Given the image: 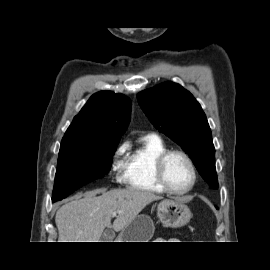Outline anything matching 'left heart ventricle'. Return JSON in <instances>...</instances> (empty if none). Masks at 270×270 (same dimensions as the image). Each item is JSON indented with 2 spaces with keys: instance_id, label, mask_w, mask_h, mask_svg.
<instances>
[{
  "instance_id": "left-heart-ventricle-1",
  "label": "left heart ventricle",
  "mask_w": 270,
  "mask_h": 270,
  "mask_svg": "<svg viewBox=\"0 0 270 270\" xmlns=\"http://www.w3.org/2000/svg\"><path fill=\"white\" fill-rule=\"evenodd\" d=\"M165 174L170 186L176 190L186 189L192 181V171L180 155H172L166 162Z\"/></svg>"
}]
</instances>
